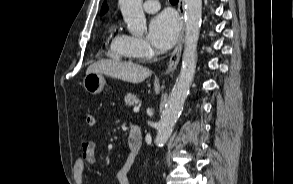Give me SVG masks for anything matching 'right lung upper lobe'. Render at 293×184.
<instances>
[{
  "instance_id": "cb5924a9",
  "label": "right lung upper lobe",
  "mask_w": 293,
  "mask_h": 184,
  "mask_svg": "<svg viewBox=\"0 0 293 184\" xmlns=\"http://www.w3.org/2000/svg\"><path fill=\"white\" fill-rule=\"evenodd\" d=\"M108 8L106 3L103 4L102 9H101V14H104L105 12H107Z\"/></svg>"
}]
</instances>
